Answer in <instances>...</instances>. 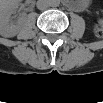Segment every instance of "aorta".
<instances>
[{"instance_id":"1","label":"aorta","mask_w":103,"mask_h":103,"mask_svg":"<svg viewBox=\"0 0 103 103\" xmlns=\"http://www.w3.org/2000/svg\"><path fill=\"white\" fill-rule=\"evenodd\" d=\"M49 4L52 5V6H57L58 2L55 1V0H52L51 2H49Z\"/></svg>"}]
</instances>
